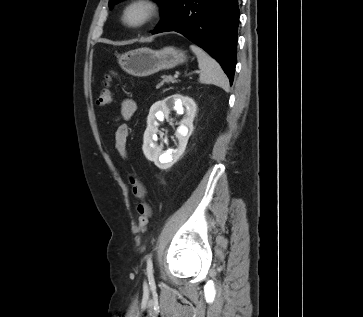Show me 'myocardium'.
Returning <instances> with one entry per match:
<instances>
[{
    "mask_svg": "<svg viewBox=\"0 0 363 317\" xmlns=\"http://www.w3.org/2000/svg\"><path fill=\"white\" fill-rule=\"evenodd\" d=\"M134 10H140V16L131 20ZM161 5L156 0H130L121 12V23L128 29H140L155 21L161 15Z\"/></svg>",
    "mask_w": 363,
    "mask_h": 317,
    "instance_id": "1",
    "label": "myocardium"
}]
</instances>
